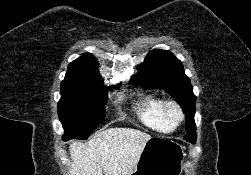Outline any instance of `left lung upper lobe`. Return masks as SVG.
<instances>
[{
    "instance_id": "5c2ea615",
    "label": "left lung upper lobe",
    "mask_w": 251,
    "mask_h": 175,
    "mask_svg": "<svg viewBox=\"0 0 251 175\" xmlns=\"http://www.w3.org/2000/svg\"><path fill=\"white\" fill-rule=\"evenodd\" d=\"M138 73L130 82L146 89H164L181 106L185 113L187 133L184 139L195 143L197 138L194 124L196 96L190 79L186 76L182 62L167 50L150 51L138 65Z\"/></svg>"
}]
</instances>
